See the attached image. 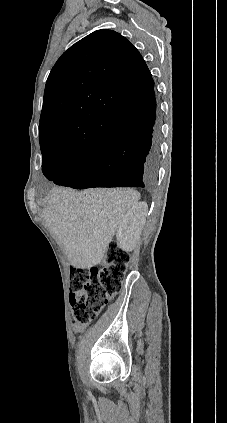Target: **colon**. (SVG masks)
Instances as JSON below:
<instances>
[{
    "instance_id": "obj_1",
    "label": "colon",
    "mask_w": 227,
    "mask_h": 423,
    "mask_svg": "<svg viewBox=\"0 0 227 423\" xmlns=\"http://www.w3.org/2000/svg\"><path fill=\"white\" fill-rule=\"evenodd\" d=\"M129 261L126 251L110 244L101 266L72 270L69 300L75 329L90 324L120 292Z\"/></svg>"
}]
</instances>
